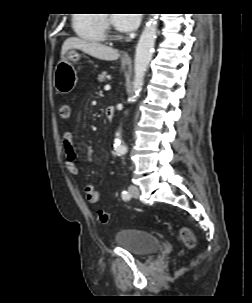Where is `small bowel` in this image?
I'll return each mask as SVG.
<instances>
[{
  "label": "small bowel",
  "mask_w": 252,
  "mask_h": 303,
  "mask_svg": "<svg viewBox=\"0 0 252 303\" xmlns=\"http://www.w3.org/2000/svg\"><path fill=\"white\" fill-rule=\"evenodd\" d=\"M62 148L65 157V166L67 171L72 175H77L79 172L77 166L76 149L73 142V137L70 132H65L62 138ZM89 203L96 204L101 200V193L95 188L92 183H86L83 186Z\"/></svg>",
  "instance_id": "c3829d8e"
}]
</instances>
